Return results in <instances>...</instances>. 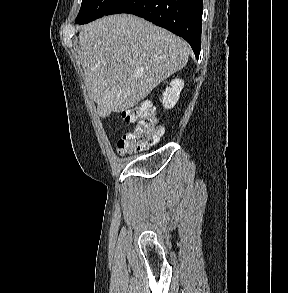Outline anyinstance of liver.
<instances>
[{
    "label": "liver",
    "mask_w": 288,
    "mask_h": 293,
    "mask_svg": "<svg viewBox=\"0 0 288 293\" xmlns=\"http://www.w3.org/2000/svg\"><path fill=\"white\" fill-rule=\"evenodd\" d=\"M78 52L90 98L102 117L134 107L185 67L189 57L183 39L129 14L83 26Z\"/></svg>",
    "instance_id": "6515ba94"
}]
</instances>
